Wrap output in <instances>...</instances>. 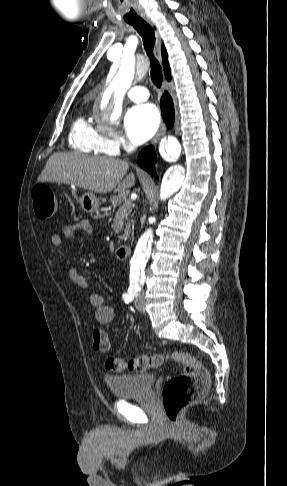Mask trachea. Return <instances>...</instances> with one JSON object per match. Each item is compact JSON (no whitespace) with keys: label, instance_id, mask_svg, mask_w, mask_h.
I'll return each mask as SVG.
<instances>
[{"label":"trachea","instance_id":"trachea-1","mask_svg":"<svg viewBox=\"0 0 287 486\" xmlns=\"http://www.w3.org/2000/svg\"><path fill=\"white\" fill-rule=\"evenodd\" d=\"M132 25L143 38L144 48L150 58V74L152 82L160 88L163 81L162 69L158 60L153 55L155 33L153 28L142 18L128 22Z\"/></svg>","mask_w":287,"mask_h":486}]
</instances>
